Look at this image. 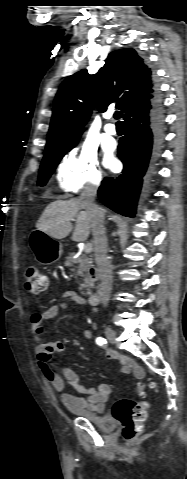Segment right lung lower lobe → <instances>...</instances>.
<instances>
[{
  "instance_id": "obj_1",
  "label": "right lung lower lobe",
  "mask_w": 187,
  "mask_h": 479,
  "mask_svg": "<svg viewBox=\"0 0 187 479\" xmlns=\"http://www.w3.org/2000/svg\"><path fill=\"white\" fill-rule=\"evenodd\" d=\"M127 131L119 140L118 157L123 173L105 178L98 190L100 200L127 217H134L143 180L150 174L164 135V110L159 94L144 107L127 113Z\"/></svg>"
}]
</instances>
